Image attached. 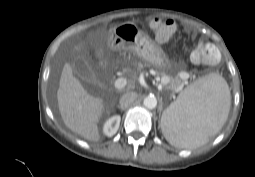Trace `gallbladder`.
Returning a JSON list of instances; mask_svg holds the SVG:
<instances>
[{"label":"gallbladder","mask_w":255,"mask_h":177,"mask_svg":"<svg viewBox=\"0 0 255 177\" xmlns=\"http://www.w3.org/2000/svg\"><path fill=\"white\" fill-rule=\"evenodd\" d=\"M71 67L74 74L85 82L91 83L96 79L95 73L89 64L85 53H79L71 60Z\"/></svg>","instance_id":"1"}]
</instances>
